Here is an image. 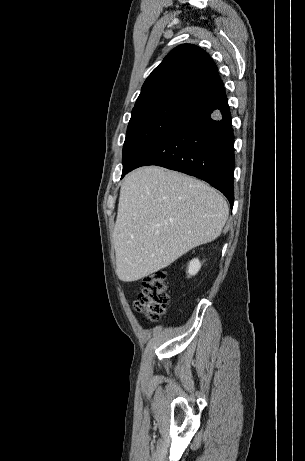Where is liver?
Listing matches in <instances>:
<instances>
[{
  "label": "liver",
  "mask_w": 305,
  "mask_h": 461,
  "mask_svg": "<svg viewBox=\"0 0 305 461\" xmlns=\"http://www.w3.org/2000/svg\"><path fill=\"white\" fill-rule=\"evenodd\" d=\"M226 200L195 178L156 166L124 179L114 227L116 275L132 282L214 241L228 218Z\"/></svg>",
  "instance_id": "6515ba94"
}]
</instances>
